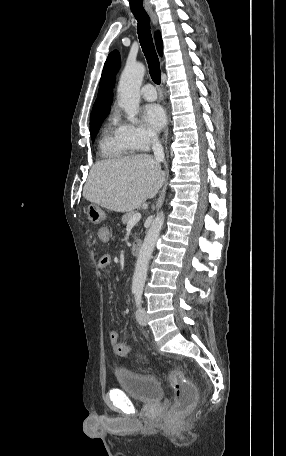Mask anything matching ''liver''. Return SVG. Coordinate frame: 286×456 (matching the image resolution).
<instances>
[{
  "instance_id": "obj_1",
  "label": "liver",
  "mask_w": 286,
  "mask_h": 456,
  "mask_svg": "<svg viewBox=\"0 0 286 456\" xmlns=\"http://www.w3.org/2000/svg\"><path fill=\"white\" fill-rule=\"evenodd\" d=\"M165 173L148 154L96 162L83 188V197L110 211L130 212L154 198Z\"/></svg>"
}]
</instances>
